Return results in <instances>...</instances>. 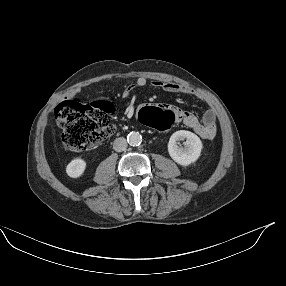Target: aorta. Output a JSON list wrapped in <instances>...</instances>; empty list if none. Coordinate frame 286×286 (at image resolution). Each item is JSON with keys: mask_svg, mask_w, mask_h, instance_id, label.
<instances>
[{"mask_svg": "<svg viewBox=\"0 0 286 286\" xmlns=\"http://www.w3.org/2000/svg\"><path fill=\"white\" fill-rule=\"evenodd\" d=\"M127 141L131 146H139L142 142V136L139 132H130L127 136Z\"/></svg>", "mask_w": 286, "mask_h": 286, "instance_id": "aorta-1", "label": "aorta"}]
</instances>
